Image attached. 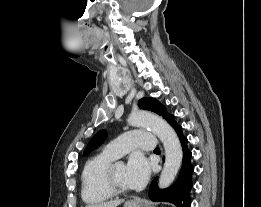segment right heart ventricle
I'll use <instances>...</instances> for the list:
<instances>
[{
    "instance_id": "obj_1",
    "label": "right heart ventricle",
    "mask_w": 261,
    "mask_h": 207,
    "mask_svg": "<svg viewBox=\"0 0 261 207\" xmlns=\"http://www.w3.org/2000/svg\"><path fill=\"white\" fill-rule=\"evenodd\" d=\"M115 159L104 150L85 163L81 174V196L84 202L98 204L113 196L107 188L105 175L107 168Z\"/></svg>"
}]
</instances>
